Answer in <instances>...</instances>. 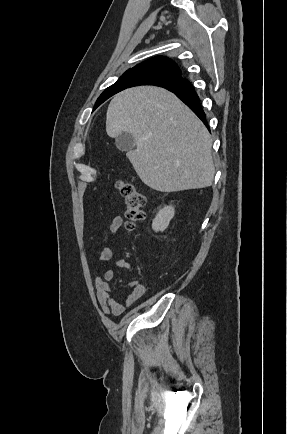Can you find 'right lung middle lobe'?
I'll return each mask as SVG.
<instances>
[{
	"mask_svg": "<svg viewBox=\"0 0 287 434\" xmlns=\"http://www.w3.org/2000/svg\"><path fill=\"white\" fill-rule=\"evenodd\" d=\"M176 76L160 69L137 68L126 71L117 82L108 87L97 99L94 110L114 94L136 85H153L175 79Z\"/></svg>",
	"mask_w": 287,
	"mask_h": 434,
	"instance_id": "dd1d6c3e",
	"label": "right lung middle lobe"
}]
</instances>
